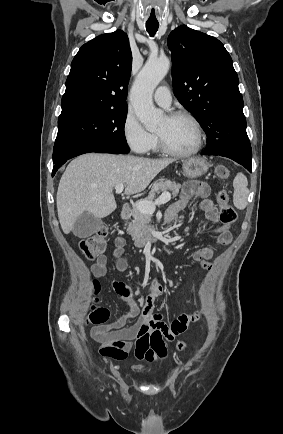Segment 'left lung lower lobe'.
<instances>
[{
  "label": "left lung lower lobe",
  "instance_id": "obj_1",
  "mask_svg": "<svg viewBox=\"0 0 283 434\" xmlns=\"http://www.w3.org/2000/svg\"><path fill=\"white\" fill-rule=\"evenodd\" d=\"M202 155H210L208 153H206L205 151L202 153ZM239 164L243 165L246 169H248L251 172V159H245V160H241L239 161Z\"/></svg>",
  "mask_w": 283,
  "mask_h": 434
}]
</instances>
